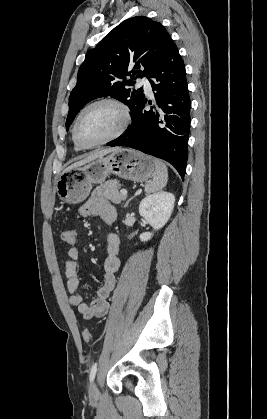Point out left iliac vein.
<instances>
[{
	"instance_id": "left-iliac-vein-1",
	"label": "left iliac vein",
	"mask_w": 267,
	"mask_h": 419,
	"mask_svg": "<svg viewBox=\"0 0 267 419\" xmlns=\"http://www.w3.org/2000/svg\"><path fill=\"white\" fill-rule=\"evenodd\" d=\"M98 395V388L95 381H92L89 387V396L91 398H96Z\"/></svg>"
}]
</instances>
